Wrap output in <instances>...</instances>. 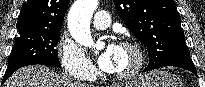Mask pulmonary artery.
Masks as SVG:
<instances>
[{"label":"pulmonary artery","instance_id":"e3ab8cb5","mask_svg":"<svg viewBox=\"0 0 205 87\" xmlns=\"http://www.w3.org/2000/svg\"><path fill=\"white\" fill-rule=\"evenodd\" d=\"M111 17L107 11H97L93 17V26L97 29H106L110 26Z\"/></svg>","mask_w":205,"mask_h":87}]
</instances>
